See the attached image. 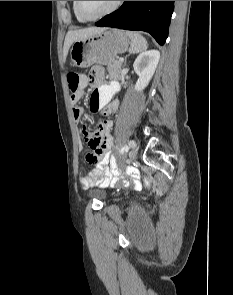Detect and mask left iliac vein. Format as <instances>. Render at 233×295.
<instances>
[{
	"label": "left iliac vein",
	"mask_w": 233,
	"mask_h": 295,
	"mask_svg": "<svg viewBox=\"0 0 233 295\" xmlns=\"http://www.w3.org/2000/svg\"><path fill=\"white\" fill-rule=\"evenodd\" d=\"M134 144L136 145V142L134 141ZM137 156V149H136V146L133 148L131 147V150L129 152V159L130 161H133Z\"/></svg>",
	"instance_id": "obj_1"
}]
</instances>
